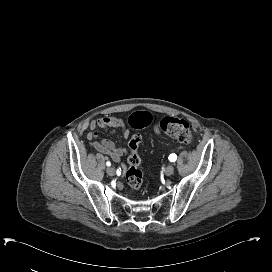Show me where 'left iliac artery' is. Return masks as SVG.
<instances>
[{
  "instance_id": "44dca946",
  "label": "left iliac artery",
  "mask_w": 272,
  "mask_h": 272,
  "mask_svg": "<svg viewBox=\"0 0 272 272\" xmlns=\"http://www.w3.org/2000/svg\"><path fill=\"white\" fill-rule=\"evenodd\" d=\"M176 159H177V155H176V154H170V155H169V160H170L171 162L176 161Z\"/></svg>"
}]
</instances>
